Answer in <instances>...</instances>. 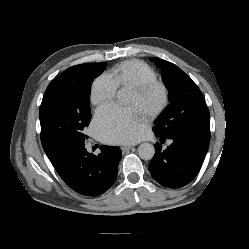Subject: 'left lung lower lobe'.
Returning a JSON list of instances; mask_svg holds the SVG:
<instances>
[{
  "label": "left lung lower lobe",
  "instance_id": "obj_1",
  "mask_svg": "<svg viewBox=\"0 0 249 249\" xmlns=\"http://www.w3.org/2000/svg\"><path fill=\"white\" fill-rule=\"evenodd\" d=\"M160 141L165 137L159 136ZM173 143L166 149L157 142L156 153L152 158L149 171L161 185L179 188L197 175L208 151L210 137L184 136L173 137Z\"/></svg>",
  "mask_w": 249,
  "mask_h": 249
}]
</instances>
